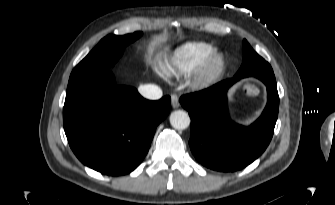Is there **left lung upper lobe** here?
<instances>
[{"label": "left lung upper lobe", "mask_w": 335, "mask_h": 205, "mask_svg": "<svg viewBox=\"0 0 335 205\" xmlns=\"http://www.w3.org/2000/svg\"><path fill=\"white\" fill-rule=\"evenodd\" d=\"M254 75L274 77L273 70L269 63L259 56L244 39L243 63L235 76L249 77Z\"/></svg>", "instance_id": "5c2ea615"}]
</instances>
